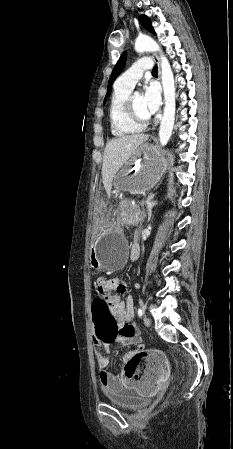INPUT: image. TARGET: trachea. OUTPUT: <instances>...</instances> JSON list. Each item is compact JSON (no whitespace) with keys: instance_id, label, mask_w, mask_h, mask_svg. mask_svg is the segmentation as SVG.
<instances>
[{"instance_id":"trachea-1","label":"trachea","mask_w":233,"mask_h":449,"mask_svg":"<svg viewBox=\"0 0 233 449\" xmlns=\"http://www.w3.org/2000/svg\"><path fill=\"white\" fill-rule=\"evenodd\" d=\"M152 74H158V67L154 66V68L152 69Z\"/></svg>"}]
</instances>
